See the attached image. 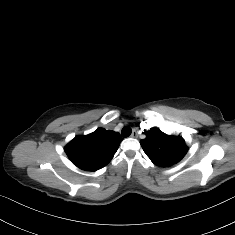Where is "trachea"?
<instances>
[{"instance_id":"3493384b","label":"trachea","mask_w":235,"mask_h":235,"mask_svg":"<svg viewBox=\"0 0 235 235\" xmlns=\"http://www.w3.org/2000/svg\"><path fill=\"white\" fill-rule=\"evenodd\" d=\"M132 133V129L130 127H124L121 131L123 137H128Z\"/></svg>"}]
</instances>
